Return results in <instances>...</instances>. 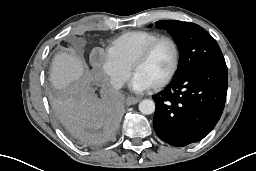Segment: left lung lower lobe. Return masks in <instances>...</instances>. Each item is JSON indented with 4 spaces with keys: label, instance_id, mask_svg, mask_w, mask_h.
<instances>
[{
    "label": "left lung lower lobe",
    "instance_id": "0a47b994",
    "mask_svg": "<svg viewBox=\"0 0 256 171\" xmlns=\"http://www.w3.org/2000/svg\"><path fill=\"white\" fill-rule=\"evenodd\" d=\"M227 84L225 63L197 66L173 78L153 96V126L158 137L177 147L203 139L220 119Z\"/></svg>",
    "mask_w": 256,
    "mask_h": 171
}]
</instances>
